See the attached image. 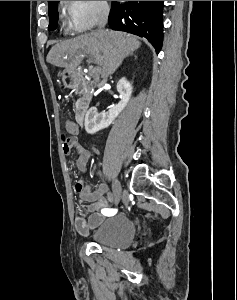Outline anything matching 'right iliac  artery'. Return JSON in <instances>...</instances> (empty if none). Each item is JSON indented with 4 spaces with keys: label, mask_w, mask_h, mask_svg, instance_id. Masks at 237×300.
I'll return each mask as SVG.
<instances>
[{
    "label": "right iliac artery",
    "mask_w": 237,
    "mask_h": 300,
    "mask_svg": "<svg viewBox=\"0 0 237 300\" xmlns=\"http://www.w3.org/2000/svg\"><path fill=\"white\" fill-rule=\"evenodd\" d=\"M117 211V209H102V213L104 214V215H106L108 212H116Z\"/></svg>",
    "instance_id": "1"
}]
</instances>
